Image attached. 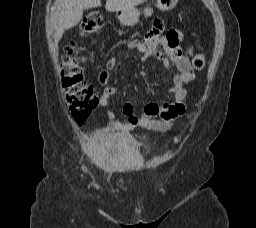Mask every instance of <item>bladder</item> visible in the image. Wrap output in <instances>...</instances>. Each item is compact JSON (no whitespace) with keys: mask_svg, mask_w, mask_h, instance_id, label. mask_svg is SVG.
<instances>
[{"mask_svg":"<svg viewBox=\"0 0 256 228\" xmlns=\"http://www.w3.org/2000/svg\"><path fill=\"white\" fill-rule=\"evenodd\" d=\"M96 152L103 162L115 160L125 164L137 163L141 160L136 141L128 135L103 133L97 136Z\"/></svg>","mask_w":256,"mask_h":228,"instance_id":"obj_1","label":"bladder"}]
</instances>
